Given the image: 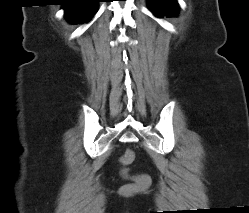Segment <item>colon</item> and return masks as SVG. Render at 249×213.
Here are the masks:
<instances>
[{
    "mask_svg": "<svg viewBox=\"0 0 249 213\" xmlns=\"http://www.w3.org/2000/svg\"><path fill=\"white\" fill-rule=\"evenodd\" d=\"M133 159H134L133 151L132 150H127L120 161H121V164L123 166H127L133 161ZM123 174L127 175L126 171H124ZM132 190H133V187L128 186V187L123 188L122 192L126 193V192H130Z\"/></svg>",
    "mask_w": 249,
    "mask_h": 213,
    "instance_id": "5ec220e1",
    "label": "colon"
}]
</instances>
